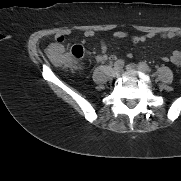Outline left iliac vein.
<instances>
[{
	"label": "left iliac vein",
	"instance_id": "left-iliac-vein-1",
	"mask_svg": "<svg viewBox=\"0 0 181 181\" xmlns=\"http://www.w3.org/2000/svg\"><path fill=\"white\" fill-rule=\"evenodd\" d=\"M126 69L127 70H139V71H143L144 72V70H142L139 66H137L136 64H128L127 66H126Z\"/></svg>",
	"mask_w": 181,
	"mask_h": 181
}]
</instances>
